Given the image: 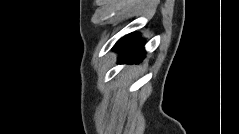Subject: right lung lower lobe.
<instances>
[{"instance_id":"right-lung-lower-lobe-1","label":"right lung lower lobe","mask_w":239,"mask_h":134,"mask_svg":"<svg viewBox=\"0 0 239 134\" xmlns=\"http://www.w3.org/2000/svg\"><path fill=\"white\" fill-rule=\"evenodd\" d=\"M113 48L120 53V61L130 60L131 63H138L145 56L144 40L135 33L121 38Z\"/></svg>"}]
</instances>
